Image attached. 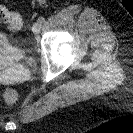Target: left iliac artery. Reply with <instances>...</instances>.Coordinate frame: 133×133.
Listing matches in <instances>:
<instances>
[{"instance_id": "44dca946", "label": "left iliac artery", "mask_w": 133, "mask_h": 133, "mask_svg": "<svg viewBox=\"0 0 133 133\" xmlns=\"http://www.w3.org/2000/svg\"><path fill=\"white\" fill-rule=\"evenodd\" d=\"M38 21L41 22V23H44L45 22V18L43 16H41V17L38 18Z\"/></svg>"}]
</instances>
